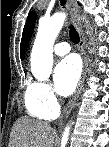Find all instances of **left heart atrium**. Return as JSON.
Returning a JSON list of instances; mask_svg holds the SVG:
<instances>
[{
    "instance_id": "1",
    "label": "left heart atrium",
    "mask_w": 109,
    "mask_h": 147,
    "mask_svg": "<svg viewBox=\"0 0 109 147\" xmlns=\"http://www.w3.org/2000/svg\"><path fill=\"white\" fill-rule=\"evenodd\" d=\"M80 77V63L77 57L68 56L60 61L54 69V86L58 94L70 95Z\"/></svg>"
}]
</instances>
